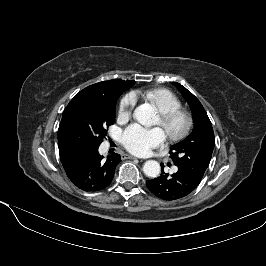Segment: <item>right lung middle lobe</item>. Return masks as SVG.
Returning a JSON list of instances; mask_svg holds the SVG:
<instances>
[{
  "instance_id": "obj_1",
  "label": "right lung middle lobe",
  "mask_w": 266,
  "mask_h": 266,
  "mask_svg": "<svg viewBox=\"0 0 266 266\" xmlns=\"http://www.w3.org/2000/svg\"><path fill=\"white\" fill-rule=\"evenodd\" d=\"M129 87L116 89L109 96L79 92L63 111L58 129V144L67 149L99 146L107 129L115 122L119 96Z\"/></svg>"
}]
</instances>
